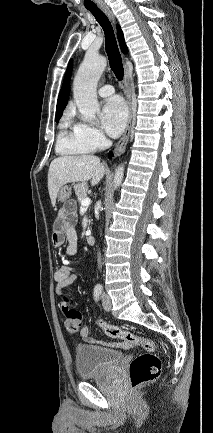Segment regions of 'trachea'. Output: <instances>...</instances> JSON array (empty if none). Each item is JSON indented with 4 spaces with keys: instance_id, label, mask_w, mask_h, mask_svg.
<instances>
[{
    "instance_id": "3493384b",
    "label": "trachea",
    "mask_w": 213,
    "mask_h": 433,
    "mask_svg": "<svg viewBox=\"0 0 213 433\" xmlns=\"http://www.w3.org/2000/svg\"><path fill=\"white\" fill-rule=\"evenodd\" d=\"M87 9L94 15V17L104 30L105 49L109 59L110 67L114 72L116 78L118 80H122L124 75V68L113 27L107 16L98 7H87Z\"/></svg>"
}]
</instances>
